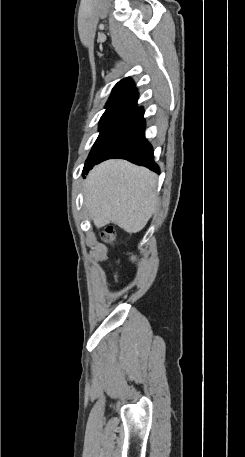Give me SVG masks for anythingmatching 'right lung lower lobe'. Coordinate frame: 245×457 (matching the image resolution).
<instances>
[{"mask_svg": "<svg viewBox=\"0 0 245 457\" xmlns=\"http://www.w3.org/2000/svg\"><path fill=\"white\" fill-rule=\"evenodd\" d=\"M143 114L142 107L134 108L129 113L119 131L97 159L96 164L111 158H122L159 173V167L153 160L152 146L145 139Z\"/></svg>", "mask_w": 245, "mask_h": 457, "instance_id": "right-lung-lower-lobe-1", "label": "right lung lower lobe"}]
</instances>
